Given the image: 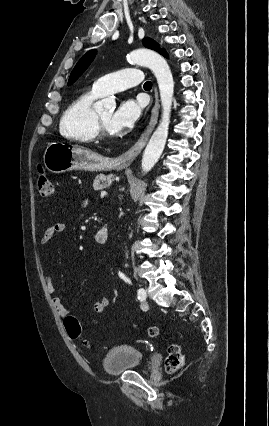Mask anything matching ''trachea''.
Wrapping results in <instances>:
<instances>
[{
    "instance_id": "trachea-1",
    "label": "trachea",
    "mask_w": 269,
    "mask_h": 426,
    "mask_svg": "<svg viewBox=\"0 0 269 426\" xmlns=\"http://www.w3.org/2000/svg\"><path fill=\"white\" fill-rule=\"evenodd\" d=\"M144 88H152V83L150 81H147L144 83Z\"/></svg>"
}]
</instances>
